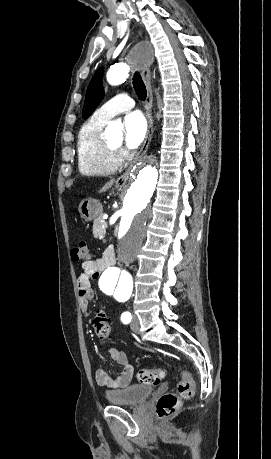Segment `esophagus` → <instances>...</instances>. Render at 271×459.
Returning a JSON list of instances; mask_svg holds the SVG:
<instances>
[{
	"label": "esophagus",
	"instance_id": "1",
	"mask_svg": "<svg viewBox=\"0 0 271 459\" xmlns=\"http://www.w3.org/2000/svg\"><path fill=\"white\" fill-rule=\"evenodd\" d=\"M138 39L142 38L141 34L137 35ZM152 60H138L137 64H133L132 68L135 70L142 69V77L146 85V90H147V98L145 101L144 105V110H145V117L147 119V133L143 142V145L141 146L138 154L135 156L134 160L131 162L127 170L122 174L117 180H116V185H125L128 178L130 171L132 167L145 155L147 152L153 133H154V122H153V117L151 113V107H152V102H153V93H152V87H151V82H150V77H151V72L150 69L152 67Z\"/></svg>",
	"mask_w": 271,
	"mask_h": 459
}]
</instances>
